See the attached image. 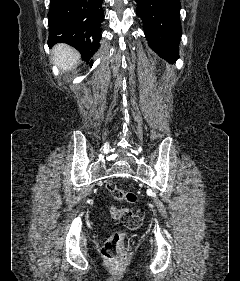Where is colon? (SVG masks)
<instances>
[{
    "instance_id": "obj_1",
    "label": "colon",
    "mask_w": 240,
    "mask_h": 281,
    "mask_svg": "<svg viewBox=\"0 0 240 281\" xmlns=\"http://www.w3.org/2000/svg\"><path fill=\"white\" fill-rule=\"evenodd\" d=\"M107 189L115 200L129 204H134L137 201L135 193L118 187L114 182H108ZM110 213L115 220L129 229L139 228L144 219L143 210L132 211L127 207H112ZM124 240L125 232L123 231L114 232L107 238L102 248V254L106 261L112 264H121L125 261Z\"/></svg>"
}]
</instances>
